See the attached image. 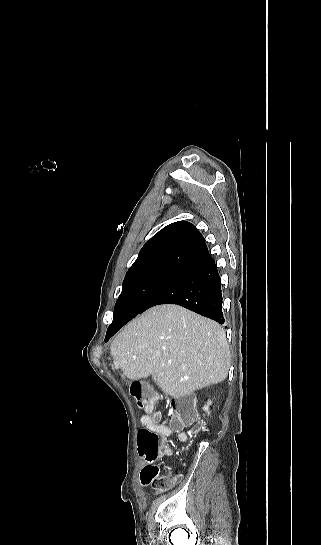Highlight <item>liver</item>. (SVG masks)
<instances>
[{
    "label": "liver",
    "mask_w": 321,
    "mask_h": 545,
    "mask_svg": "<svg viewBox=\"0 0 321 545\" xmlns=\"http://www.w3.org/2000/svg\"><path fill=\"white\" fill-rule=\"evenodd\" d=\"M110 349L125 377L152 375L173 399L222 383L231 363L224 329L179 305L148 309L118 333Z\"/></svg>",
    "instance_id": "liver-1"
}]
</instances>
